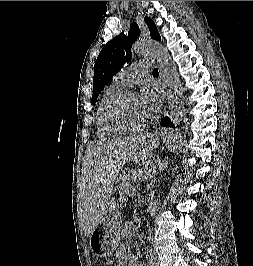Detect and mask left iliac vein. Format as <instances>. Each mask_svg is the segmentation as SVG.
<instances>
[{
	"label": "left iliac vein",
	"mask_w": 253,
	"mask_h": 266,
	"mask_svg": "<svg viewBox=\"0 0 253 266\" xmlns=\"http://www.w3.org/2000/svg\"><path fill=\"white\" fill-rule=\"evenodd\" d=\"M155 266H161L160 261L158 259L156 260Z\"/></svg>",
	"instance_id": "obj_1"
}]
</instances>
